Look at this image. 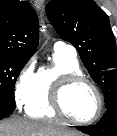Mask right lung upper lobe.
I'll use <instances>...</instances> for the list:
<instances>
[{
    "instance_id": "cb5924a9",
    "label": "right lung upper lobe",
    "mask_w": 117,
    "mask_h": 136,
    "mask_svg": "<svg viewBox=\"0 0 117 136\" xmlns=\"http://www.w3.org/2000/svg\"><path fill=\"white\" fill-rule=\"evenodd\" d=\"M39 22L26 1L0 0V55L29 59L38 46Z\"/></svg>"
}]
</instances>
